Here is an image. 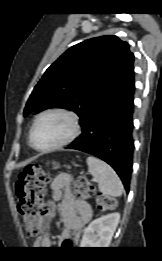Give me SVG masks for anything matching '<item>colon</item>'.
<instances>
[{
    "mask_svg": "<svg viewBox=\"0 0 162 261\" xmlns=\"http://www.w3.org/2000/svg\"><path fill=\"white\" fill-rule=\"evenodd\" d=\"M50 176L40 165H30L19 174L16 182L18 211L23 218L25 229L30 236L40 231L44 210L41 198L45 192ZM96 195L95 187L85 177H79L74 183V197L77 200L90 199ZM100 209H110L115 205L114 199L105 195H97ZM68 245V244H66Z\"/></svg>",
    "mask_w": 162,
    "mask_h": 261,
    "instance_id": "1",
    "label": "colon"
}]
</instances>
